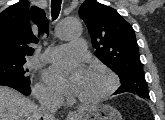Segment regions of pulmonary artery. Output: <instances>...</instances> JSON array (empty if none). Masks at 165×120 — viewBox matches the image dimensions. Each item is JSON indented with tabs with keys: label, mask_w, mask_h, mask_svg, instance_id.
<instances>
[{
	"label": "pulmonary artery",
	"mask_w": 165,
	"mask_h": 120,
	"mask_svg": "<svg viewBox=\"0 0 165 120\" xmlns=\"http://www.w3.org/2000/svg\"><path fill=\"white\" fill-rule=\"evenodd\" d=\"M85 52V42L82 40H75L69 44L48 47L43 54V59L53 62L68 57L69 55H81Z\"/></svg>",
	"instance_id": "pulmonary-artery-1"
}]
</instances>
